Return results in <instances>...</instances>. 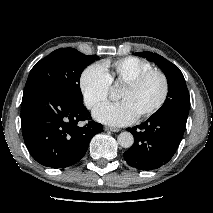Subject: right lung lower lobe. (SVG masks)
<instances>
[{
  "instance_id": "right-lung-lower-lobe-1",
  "label": "right lung lower lobe",
  "mask_w": 213,
  "mask_h": 213,
  "mask_svg": "<svg viewBox=\"0 0 213 213\" xmlns=\"http://www.w3.org/2000/svg\"><path fill=\"white\" fill-rule=\"evenodd\" d=\"M84 105H76L45 85L26 87L21 106L24 142L31 156L51 168L69 167L85 155L91 138L103 131L100 123L89 121Z\"/></svg>"
}]
</instances>
